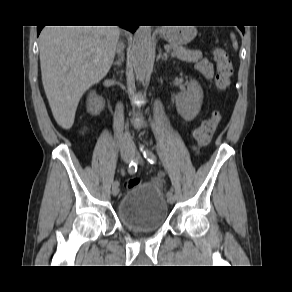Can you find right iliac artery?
Returning <instances> with one entry per match:
<instances>
[{
	"instance_id": "82829eb1",
	"label": "right iliac artery",
	"mask_w": 292,
	"mask_h": 292,
	"mask_svg": "<svg viewBox=\"0 0 292 292\" xmlns=\"http://www.w3.org/2000/svg\"><path fill=\"white\" fill-rule=\"evenodd\" d=\"M136 171H137V163H136V161H132V162H130V164H129V166H128V172H129L130 174H134ZM118 185H119V182H117V181H115V182L113 183V186L118 187Z\"/></svg>"
}]
</instances>
